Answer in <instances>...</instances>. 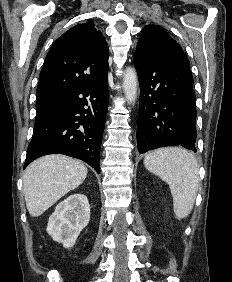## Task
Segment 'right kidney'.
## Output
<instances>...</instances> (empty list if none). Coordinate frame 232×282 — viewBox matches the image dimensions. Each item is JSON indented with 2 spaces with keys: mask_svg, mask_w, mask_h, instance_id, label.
<instances>
[{
  "mask_svg": "<svg viewBox=\"0 0 232 282\" xmlns=\"http://www.w3.org/2000/svg\"><path fill=\"white\" fill-rule=\"evenodd\" d=\"M90 220V206L84 194H73L60 202L49 217L47 232L65 248L72 247Z\"/></svg>",
  "mask_w": 232,
  "mask_h": 282,
  "instance_id": "ca27d5eb",
  "label": "right kidney"
}]
</instances>
